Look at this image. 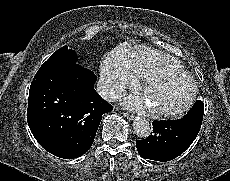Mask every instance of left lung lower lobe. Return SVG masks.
<instances>
[{
  "label": "left lung lower lobe",
  "instance_id": "left-lung-lower-lobe-1",
  "mask_svg": "<svg viewBox=\"0 0 230 181\" xmlns=\"http://www.w3.org/2000/svg\"><path fill=\"white\" fill-rule=\"evenodd\" d=\"M204 103L197 100L182 119L154 121L153 134L137 140L136 147L141 157L167 162L181 155L195 140L203 118Z\"/></svg>",
  "mask_w": 230,
  "mask_h": 181
}]
</instances>
